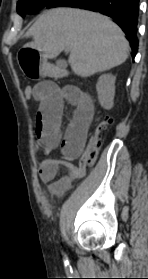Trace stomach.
<instances>
[{"label": "stomach", "instance_id": "obj_1", "mask_svg": "<svg viewBox=\"0 0 148 279\" xmlns=\"http://www.w3.org/2000/svg\"><path fill=\"white\" fill-rule=\"evenodd\" d=\"M16 53L18 69L27 78V82H48V78L54 75L44 50H17Z\"/></svg>", "mask_w": 148, "mask_h": 279}]
</instances>
